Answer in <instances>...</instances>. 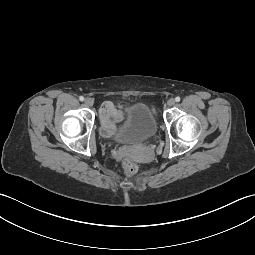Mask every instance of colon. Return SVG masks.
<instances>
[{
	"label": "colon",
	"mask_w": 255,
	"mask_h": 255,
	"mask_svg": "<svg viewBox=\"0 0 255 255\" xmlns=\"http://www.w3.org/2000/svg\"><path fill=\"white\" fill-rule=\"evenodd\" d=\"M123 168L125 171V174L128 177L134 176L138 171V166L131 158H125L123 160Z\"/></svg>",
	"instance_id": "obj_1"
}]
</instances>
